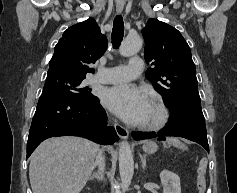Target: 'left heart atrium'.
Returning <instances> with one entry per match:
<instances>
[{
    "mask_svg": "<svg viewBox=\"0 0 237 193\" xmlns=\"http://www.w3.org/2000/svg\"><path fill=\"white\" fill-rule=\"evenodd\" d=\"M103 104L128 123H141L149 102L140 88L123 83L107 88L102 96Z\"/></svg>",
    "mask_w": 237,
    "mask_h": 193,
    "instance_id": "39dd6f15",
    "label": "left heart atrium"
}]
</instances>
